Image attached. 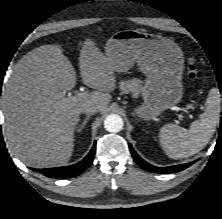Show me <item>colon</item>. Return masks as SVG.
<instances>
[{
	"mask_svg": "<svg viewBox=\"0 0 222 219\" xmlns=\"http://www.w3.org/2000/svg\"><path fill=\"white\" fill-rule=\"evenodd\" d=\"M187 75L191 80L196 79L198 76V69L194 58H190L188 61Z\"/></svg>",
	"mask_w": 222,
	"mask_h": 219,
	"instance_id": "obj_1",
	"label": "colon"
}]
</instances>
